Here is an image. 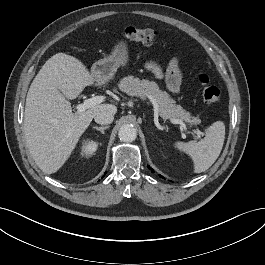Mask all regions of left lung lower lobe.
Returning <instances> with one entry per match:
<instances>
[{"label": "left lung lower lobe", "instance_id": "obj_1", "mask_svg": "<svg viewBox=\"0 0 265 265\" xmlns=\"http://www.w3.org/2000/svg\"><path fill=\"white\" fill-rule=\"evenodd\" d=\"M148 168H150L149 166H148ZM152 172H154V170H152ZM160 177H162V176H160ZM163 178V177H162Z\"/></svg>", "mask_w": 265, "mask_h": 265}]
</instances>
